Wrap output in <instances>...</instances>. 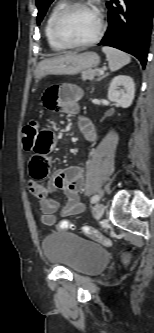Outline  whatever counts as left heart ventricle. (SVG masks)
I'll return each instance as SVG.
<instances>
[{
  "mask_svg": "<svg viewBox=\"0 0 154 333\" xmlns=\"http://www.w3.org/2000/svg\"><path fill=\"white\" fill-rule=\"evenodd\" d=\"M98 28V15L91 7L71 10L61 24V32L71 41H85L92 38Z\"/></svg>",
  "mask_w": 154,
  "mask_h": 333,
  "instance_id": "1",
  "label": "left heart ventricle"
}]
</instances>
